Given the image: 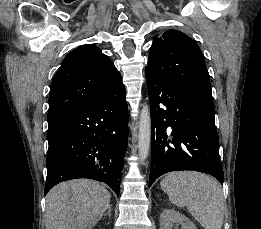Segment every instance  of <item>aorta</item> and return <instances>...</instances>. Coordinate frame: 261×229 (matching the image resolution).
I'll use <instances>...</instances> for the list:
<instances>
[{
    "mask_svg": "<svg viewBox=\"0 0 261 229\" xmlns=\"http://www.w3.org/2000/svg\"><path fill=\"white\" fill-rule=\"evenodd\" d=\"M138 129V155L140 161L144 163L149 155L151 145V117L148 104H144L140 112Z\"/></svg>",
    "mask_w": 261,
    "mask_h": 229,
    "instance_id": "aorta-1",
    "label": "aorta"
}]
</instances>
